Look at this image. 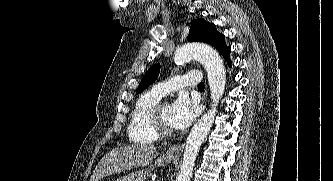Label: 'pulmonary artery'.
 <instances>
[{
  "mask_svg": "<svg viewBox=\"0 0 333 181\" xmlns=\"http://www.w3.org/2000/svg\"><path fill=\"white\" fill-rule=\"evenodd\" d=\"M201 74L199 72H189L184 75L174 76L169 80L160 82L152 88V91L160 97H164L169 92L178 90L185 86H196L201 81Z\"/></svg>",
  "mask_w": 333,
  "mask_h": 181,
  "instance_id": "e3ab8cb5",
  "label": "pulmonary artery"
}]
</instances>
